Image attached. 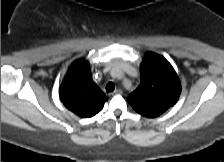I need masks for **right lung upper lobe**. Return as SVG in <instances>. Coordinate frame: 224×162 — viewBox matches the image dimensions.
I'll return each mask as SVG.
<instances>
[{"instance_id":"obj_1","label":"right lung upper lobe","mask_w":224,"mask_h":162,"mask_svg":"<svg viewBox=\"0 0 224 162\" xmlns=\"http://www.w3.org/2000/svg\"><path fill=\"white\" fill-rule=\"evenodd\" d=\"M63 104L76 115L90 118L100 112L107 97L92 80L88 61L73 62L60 87Z\"/></svg>"}]
</instances>
